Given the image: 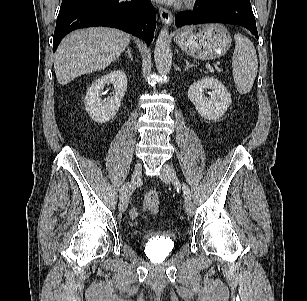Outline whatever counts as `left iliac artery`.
<instances>
[{
    "label": "left iliac artery",
    "mask_w": 307,
    "mask_h": 301,
    "mask_svg": "<svg viewBox=\"0 0 307 301\" xmlns=\"http://www.w3.org/2000/svg\"><path fill=\"white\" fill-rule=\"evenodd\" d=\"M183 191H184V195H185V200L191 199L190 190H189V188L186 184H183Z\"/></svg>",
    "instance_id": "obj_1"
}]
</instances>
